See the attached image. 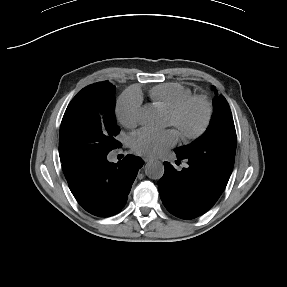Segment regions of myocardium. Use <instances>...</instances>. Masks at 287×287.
I'll return each instance as SVG.
<instances>
[{
  "label": "myocardium",
  "instance_id": "obj_1",
  "mask_svg": "<svg viewBox=\"0 0 287 287\" xmlns=\"http://www.w3.org/2000/svg\"><path fill=\"white\" fill-rule=\"evenodd\" d=\"M193 105L201 107L203 111V119L197 129L194 131H185L179 127L178 119ZM168 115L172 118V126L178 130L182 140L193 141L200 138L207 131L212 118V106L206 97L202 95H192L171 110Z\"/></svg>",
  "mask_w": 287,
  "mask_h": 287
}]
</instances>
